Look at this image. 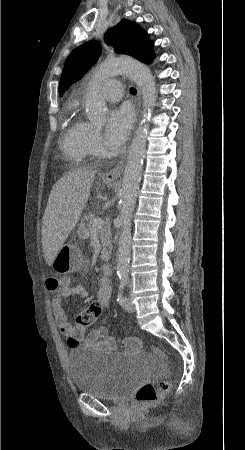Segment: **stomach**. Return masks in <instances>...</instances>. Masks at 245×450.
<instances>
[{"label": "stomach", "mask_w": 245, "mask_h": 450, "mask_svg": "<svg viewBox=\"0 0 245 450\" xmlns=\"http://www.w3.org/2000/svg\"><path fill=\"white\" fill-rule=\"evenodd\" d=\"M83 265V257L80 249L72 244H65L59 250L52 262L54 271L60 274H69L77 271Z\"/></svg>", "instance_id": "obj_1"}]
</instances>
